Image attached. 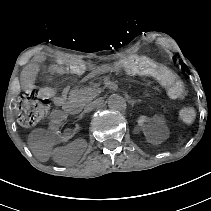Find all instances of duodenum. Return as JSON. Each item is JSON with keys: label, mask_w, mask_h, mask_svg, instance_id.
Segmentation results:
<instances>
[{"label": "duodenum", "mask_w": 211, "mask_h": 211, "mask_svg": "<svg viewBox=\"0 0 211 211\" xmlns=\"http://www.w3.org/2000/svg\"><path fill=\"white\" fill-rule=\"evenodd\" d=\"M64 111L69 115H75L80 111L79 104L74 100H67L63 104Z\"/></svg>", "instance_id": "duodenum-1"}]
</instances>
